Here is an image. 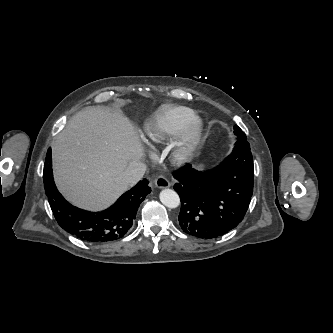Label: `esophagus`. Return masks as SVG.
<instances>
[{
	"label": "esophagus",
	"instance_id": "esophagus-1",
	"mask_svg": "<svg viewBox=\"0 0 333 333\" xmlns=\"http://www.w3.org/2000/svg\"><path fill=\"white\" fill-rule=\"evenodd\" d=\"M154 183L156 187L160 189L169 188L171 186L170 182L164 176H159L158 178H156Z\"/></svg>",
	"mask_w": 333,
	"mask_h": 333
}]
</instances>
